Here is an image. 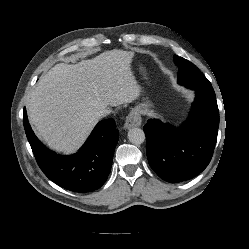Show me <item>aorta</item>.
Masks as SVG:
<instances>
[{"mask_svg":"<svg viewBox=\"0 0 249 249\" xmlns=\"http://www.w3.org/2000/svg\"><path fill=\"white\" fill-rule=\"evenodd\" d=\"M128 139L132 144L140 145L145 141L144 131L140 128H132L128 131Z\"/></svg>","mask_w":249,"mask_h":249,"instance_id":"1","label":"aorta"}]
</instances>
